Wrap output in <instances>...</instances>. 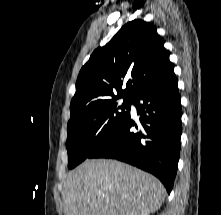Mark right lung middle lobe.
<instances>
[{"instance_id": "obj_1", "label": "right lung middle lobe", "mask_w": 221, "mask_h": 215, "mask_svg": "<svg viewBox=\"0 0 221 215\" xmlns=\"http://www.w3.org/2000/svg\"><path fill=\"white\" fill-rule=\"evenodd\" d=\"M118 99L70 106L66 141L69 168L84 161L129 114L132 99H123V103Z\"/></svg>"}]
</instances>
